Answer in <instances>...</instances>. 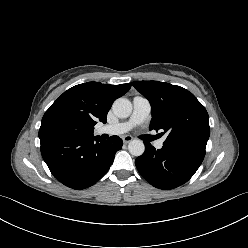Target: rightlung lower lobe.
I'll return each instance as SVG.
<instances>
[{
	"instance_id": "1",
	"label": "right lung lower lobe",
	"mask_w": 248,
	"mask_h": 248,
	"mask_svg": "<svg viewBox=\"0 0 248 248\" xmlns=\"http://www.w3.org/2000/svg\"><path fill=\"white\" fill-rule=\"evenodd\" d=\"M41 154L53 176L62 184L79 190L95 184L110 168L122 148L118 136L50 137L40 139Z\"/></svg>"
}]
</instances>
